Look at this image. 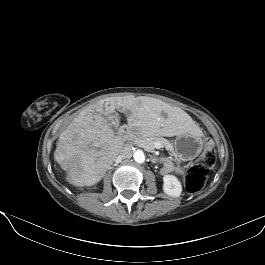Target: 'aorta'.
<instances>
[{
	"label": "aorta",
	"instance_id": "obj_1",
	"mask_svg": "<svg viewBox=\"0 0 265 265\" xmlns=\"http://www.w3.org/2000/svg\"><path fill=\"white\" fill-rule=\"evenodd\" d=\"M133 158L137 163H144L145 162V154L142 150H135L133 153Z\"/></svg>",
	"mask_w": 265,
	"mask_h": 265
}]
</instances>
